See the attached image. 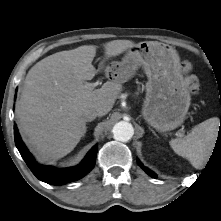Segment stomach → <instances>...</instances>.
I'll list each match as a JSON object with an SVG mask.
<instances>
[{
  "label": "stomach",
  "mask_w": 221,
  "mask_h": 221,
  "mask_svg": "<svg viewBox=\"0 0 221 221\" xmlns=\"http://www.w3.org/2000/svg\"><path fill=\"white\" fill-rule=\"evenodd\" d=\"M138 67H142L148 77L143 118L160 132L180 126L188 112L191 96L175 48L157 41L140 42L128 49L121 62L108 64L106 73L114 81L124 83Z\"/></svg>",
  "instance_id": "0dacf381"
}]
</instances>
